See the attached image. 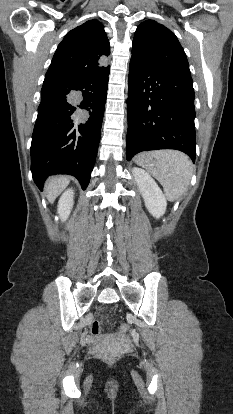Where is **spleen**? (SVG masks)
<instances>
[{"label": "spleen", "mask_w": 233, "mask_h": 414, "mask_svg": "<svg viewBox=\"0 0 233 414\" xmlns=\"http://www.w3.org/2000/svg\"><path fill=\"white\" fill-rule=\"evenodd\" d=\"M154 159L148 163L137 157L136 163L144 167L162 185L166 196L171 200L181 199L190 185L194 166L184 153L176 150H161L150 154Z\"/></svg>", "instance_id": "spleen-1"}]
</instances>
